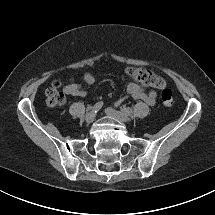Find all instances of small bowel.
I'll list each match as a JSON object with an SVG mask.
<instances>
[{
  "label": "small bowel",
  "mask_w": 215,
  "mask_h": 215,
  "mask_svg": "<svg viewBox=\"0 0 215 215\" xmlns=\"http://www.w3.org/2000/svg\"><path fill=\"white\" fill-rule=\"evenodd\" d=\"M83 81L88 84L92 85L95 83V77L91 73H85L82 77ZM128 94L137 100H141L148 104L149 106H154L156 104V97L157 94L155 91L145 92V90L138 85L137 83H129L127 86ZM64 93L68 96L73 97H85L86 91L81 87L80 84L72 83L67 85L64 88ZM124 99L117 101L116 105H119Z\"/></svg>",
  "instance_id": "c3829d8e"
}]
</instances>
